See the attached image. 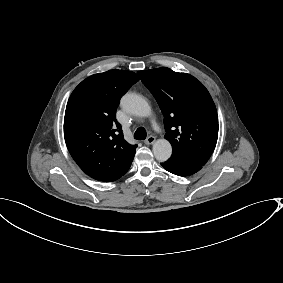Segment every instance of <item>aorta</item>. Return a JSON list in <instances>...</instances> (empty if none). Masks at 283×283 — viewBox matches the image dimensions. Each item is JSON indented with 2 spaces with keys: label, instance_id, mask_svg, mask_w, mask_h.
<instances>
[{
  "label": "aorta",
  "instance_id": "obj_1",
  "mask_svg": "<svg viewBox=\"0 0 283 283\" xmlns=\"http://www.w3.org/2000/svg\"><path fill=\"white\" fill-rule=\"evenodd\" d=\"M121 106L127 112L139 117H148L151 114L148 102L134 93H126L121 99ZM153 154L158 161H167L171 157L172 146L168 140L159 139L153 145Z\"/></svg>",
  "mask_w": 283,
  "mask_h": 283
}]
</instances>
